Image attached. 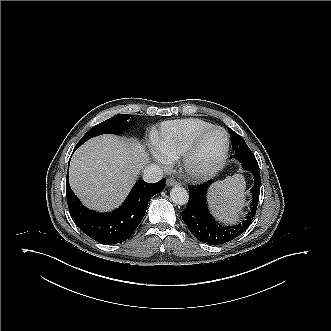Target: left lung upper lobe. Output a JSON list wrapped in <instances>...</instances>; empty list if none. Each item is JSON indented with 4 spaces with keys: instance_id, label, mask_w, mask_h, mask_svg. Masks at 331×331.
<instances>
[{
    "instance_id": "5c2ea615",
    "label": "left lung upper lobe",
    "mask_w": 331,
    "mask_h": 331,
    "mask_svg": "<svg viewBox=\"0 0 331 331\" xmlns=\"http://www.w3.org/2000/svg\"><path fill=\"white\" fill-rule=\"evenodd\" d=\"M229 133H230V138L233 137L237 139L238 143H240V148L235 150L234 157L245 164L258 165L255 156L253 155V153L251 152L245 141L230 128H229Z\"/></svg>"
}]
</instances>
